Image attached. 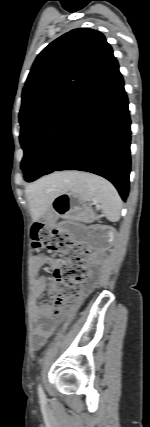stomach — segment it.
<instances>
[{
    "label": "stomach",
    "mask_w": 150,
    "mask_h": 427,
    "mask_svg": "<svg viewBox=\"0 0 150 427\" xmlns=\"http://www.w3.org/2000/svg\"><path fill=\"white\" fill-rule=\"evenodd\" d=\"M51 208L56 215L72 220L82 219L87 211L85 200L69 189L55 194Z\"/></svg>",
    "instance_id": "1"
}]
</instances>
